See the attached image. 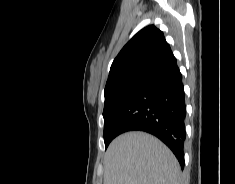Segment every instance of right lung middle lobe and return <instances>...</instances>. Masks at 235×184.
<instances>
[{"label":"right lung middle lobe","instance_id":"dd1d6c3e","mask_svg":"<svg viewBox=\"0 0 235 184\" xmlns=\"http://www.w3.org/2000/svg\"><path fill=\"white\" fill-rule=\"evenodd\" d=\"M141 82V77H133L126 80L119 87L111 89L105 93V104L103 111L105 148H107L109 143L117 136L114 132H111L110 127L119 107L130 90L136 85H139Z\"/></svg>","mask_w":235,"mask_h":184}]
</instances>
